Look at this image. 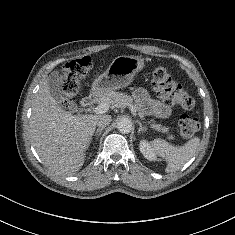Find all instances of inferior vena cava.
Wrapping results in <instances>:
<instances>
[{
  "label": "inferior vena cava",
  "mask_w": 235,
  "mask_h": 235,
  "mask_svg": "<svg viewBox=\"0 0 235 235\" xmlns=\"http://www.w3.org/2000/svg\"><path fill=\"white\" fill-rule=\"evenodd\" d=\"M110 122H111V116L110 115H101L97 119L96 124L99 128H101V127L107 126L108 124H110Z\"/></svg>",
  "instance_id": "602c4592"
}]
</instances>
